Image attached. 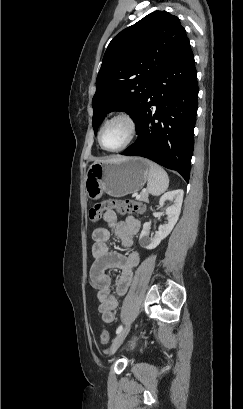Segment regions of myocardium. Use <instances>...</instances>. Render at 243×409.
<instances>
[{
  "instance_id": "f54148a6",
  "label": "myocardium",
  "mask_w": 243,
  "mask_h": 409,
  "mask_svg": "<svg viewBox=\"0 0 243 409\" xmlns=\"http://www.w3.org/2000/svg\"><path fill=\"white\" fill-rule=\"evenodd\" d=\"M114 121H123V122H125L127 124V126H128L129 135H128L127 140L120 147L115 148V149H109V148H107V147H105L103 145L101 135H102L103 129L108 124H110V123H112ZM136 134H137V125H136L135 119L128 112L120 111V112H117V113L113 114L109 118H107L101 124V126H100V128L98 130L97 140H98V143H99V145L101 146V148L103 150L108 151V152H119V151L125 149L126 147H128L133 142V140L136 137Z\"/></svg>"
}]
</instances>
